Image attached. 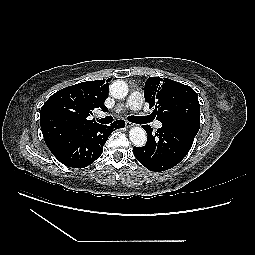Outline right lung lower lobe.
<instances>
[{"label": "right lung lower lobe", "mask_w": 255, "mask_h": 255, "mask_svg": "<svg viewBox=\"0 0 255 255\" xmlns=\"http://www.w3.org/2000/svg\"><path fill=\"white\" fill-rule=\"evenodd\" d=\"M124 126L123 120H117L110 126L97 125L91 127L74 136L53 155L66 166L84 168L100 157L108 136L115 129Z\"/></svg>", "instance_id": "right-lung-lower-lobe-1"}]
</instances>
